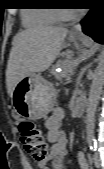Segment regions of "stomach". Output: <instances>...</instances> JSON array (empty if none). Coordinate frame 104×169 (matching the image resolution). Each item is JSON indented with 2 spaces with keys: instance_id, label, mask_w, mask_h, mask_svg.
Returning <instances> with one entry per match:
<instances>
[{
  "instance_id": "obj_1",
  "label": "stomach",
  "mask_w": 104,
  "mask_h": 169,
  "mask_svg": "<svg viewBox=\"0 0 104 169\" xmlns=\"http://www.w3.org/2000/svg\"><path fill=\"white\" fill-rule=\"evenodd\" d=\"M77 38L70 35L69 40ZM15 112L23 119L45 118L56 103V90L52 83L40 74H31L21 79L11 95Z\"/></svg>"
}]
</instances>
